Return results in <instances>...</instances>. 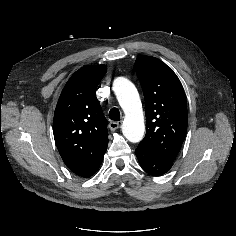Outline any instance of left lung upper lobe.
I'll list each match as a JSON object with an SVG mask.
<instances>
[{
    "mask_svg": "<svg viewBox=\"0 0 236 236\" xmlns=\"http://www.w3.org/2000/svg\"><path fill=\"white\" fill-rule=\"evenodd\" d=\"M135 69L145 98L147 132L138 145L173 163L187 133V101L176 74L162 61L146 56Z\"/></svg>",
    "mask_w": 236,
    "mask_h": 236,
    "instance_id": "5c2ea615",
    "label": "left lung upper lobe"
}]
</instances>
